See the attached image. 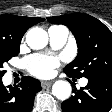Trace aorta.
Returning <instances> with one entry per match:
<instances>
[{"label":"aorta","mask_w":112,"mask_h":112,"mask_svg":"<svg viewBox=\"0 0 112 112\" xmlns=\"http://www.w3.org/2000/svg\"><path fill=\"white\" fill-rule=\"evenodd\" d=\"M26 42L32 49H43L48 44V34L39 27H34L27 32ZM72 92L69 82L58 80L53 84L52 94L59 100H67Z\"/></svg>","instance_id":"1"}]
</instances>
